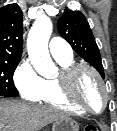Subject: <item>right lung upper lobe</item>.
<instances>
[{"instance_id": "obj_1", "label": "right lung upper lobe", "mask_w": 117, "mask_h": 131, "mask_svg": "<svg viewBox=\"0 0 117 131\" xmlns=\"http://www.w3.org/2000/svg\"><path fill=\"white\" fill-rule=\"evenodd\" d=\"M22 17L17 4L0 8V60H20L23 48Z\"/></svg>"}]
</instances>
